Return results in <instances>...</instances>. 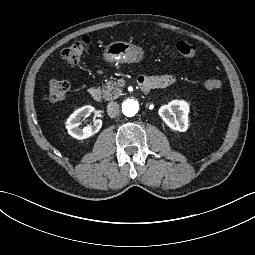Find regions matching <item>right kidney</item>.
<instances>
[{"label":"right kidney","instance_id":"1","mask_svg":"<svg viewBox=\"0 0 255 255\" xmlns=\"http://www.w3.org/2000/svg\"><path fill=\"white\" fill-rule=\"evenodd\" d=\"M94 108L90 105L81 107L74 111L67 119L65 127L70 136L75 139H87L96 134L102 127V121L97 120L94 124L88 125L84 128H80V120L86 116L91 115Z\"/></svg>","mask_w":255,"mask_h":255}]
</instances>
